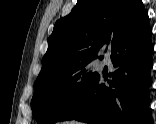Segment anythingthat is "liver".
<instances>
[{
  "instance_id": "1",
  "label": "liver",
  "mask_w": 156,
  "mask_h": 124,
  "mask_svg": "<svg viewBox=\"0 0 156 124\" xmlns=\"http://www.w3.org/2000/svg\"><path fill=\"white\" fill-rule=\"evenodd\" d=\"M69 124H79V123H77V122H70Z\"/></svg>"
}]
</instances>
